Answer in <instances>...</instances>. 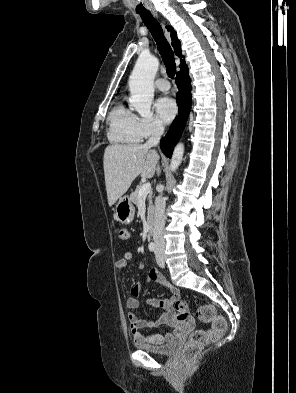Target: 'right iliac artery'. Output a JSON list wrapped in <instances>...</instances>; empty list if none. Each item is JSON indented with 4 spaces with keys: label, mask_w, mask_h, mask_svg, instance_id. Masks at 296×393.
<instances>
[{
    "label": "right iliac artery",
    "mask_w": 296,
    "mask_h": 393,
    "mask_svg": "<svg viewBox=\"0 0 296 393\" xmlns=\"http://www.w3.org/2000/svg\"><path fill=\"white\" fill-rule=\"evenodd\" d=\"M148 248H149L150 251L153 252V251H155L156 246H155V244L153 242H151V243H149Z\"/></svg>",
    "instance_id": "1"
}]
</instances>
